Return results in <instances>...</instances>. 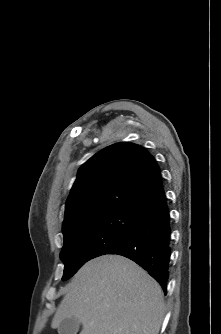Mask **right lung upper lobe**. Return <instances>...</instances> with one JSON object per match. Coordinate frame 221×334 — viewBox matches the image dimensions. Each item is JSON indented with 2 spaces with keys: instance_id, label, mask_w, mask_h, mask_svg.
Wrapping results in <instances>:
<instances>
[{
  "instance_id": "right-lung-upper-lobe-1",
  "label": "right lung upper lobe",
  "mask_w": 221,
  "mask_h": 334,
  "mask_svg": "<svg viewBox=\"0 0 221 334\" xmlns=\"http://www.w3.org/2000/svg\"><path fill=\"white\" fill-rule=\"evenodd\" d=\"M163 193L159 166L147 150L128 142L108 146L79 168L66 202L63 234L99 214H140Z\"/></svg>"
}]
</instances>
